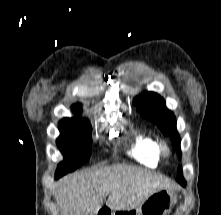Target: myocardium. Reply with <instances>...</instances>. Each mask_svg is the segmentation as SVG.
Here are the masks:
<instances>
[{
  "label": "myocardium",
  "instance_id": "myocardium-1",
  "mask_svg": "<svg viewBox=\"0 0 221 215\" xmlns=\"http://www.w3.org/2000/svg\"><path fill=\"white\" fill-rule=\"evenodd\" d=\"M157 152L158 154L165 157L168 156V154L170 153V148L166 142H160L157 144Z\"/></svg>",
  "mask_w": 221,
  "mask_h": 215
}]
</instances>
